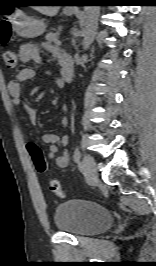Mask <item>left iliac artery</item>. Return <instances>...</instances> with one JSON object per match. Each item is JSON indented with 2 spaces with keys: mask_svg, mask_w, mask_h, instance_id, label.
<instances>
[{
  "mask_svg": "<svg viewBox=\"0 0 156 266\" xmlns=\"http://www.w3.org/2000/svg\"><path fill=\"white\" fill-rule=\"evenodd\" d=\"M81 158V151L79 147H76L75 151H74V155H73V159L75 162H79Z\"/></svg>",
  "mask_w": 156,
  "mask_h": 266,
  "instance_id": "left-iliac-artery-1",
  "label": "left iliac artery"
}]
</instances>
